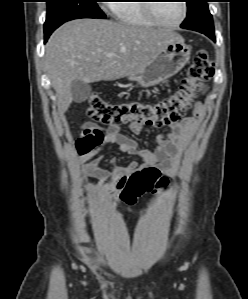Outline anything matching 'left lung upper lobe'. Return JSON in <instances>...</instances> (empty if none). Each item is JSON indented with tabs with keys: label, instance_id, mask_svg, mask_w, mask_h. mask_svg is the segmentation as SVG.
<instances>
[{
	"label": "left lung upper lobe",
	"instance_id": "left-lung-upper-lobe-1",
	"mask_svg": "<svg viewBox=\"0 0 248 299\" xmlns=\"http://www.w3.org/2000/svg\"><path fill=\"white\" fill-rule=\"evenodd\" d=\"M207 2L208 0H186L188 13L181 27L198 32L204 29L214 32L213 18Z\"/></svg>",
	"mask_w": 248,
	"mask_h": 299
}]
</instances>
